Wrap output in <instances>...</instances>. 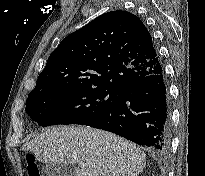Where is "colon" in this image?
Returning a JSON list of instances; mask_svg holds the SVG:
<instances>
[{
    "mask_svg": "<svg viewBox=\"0 0 205 176\" xmlns=\"http://www.w3.org/2000/svg\"><path fill=\"white\" fill-rule=\"evenodd\" d=\"M27 171L29 176H40L38 166L35 163V157L32 154L26 155Z\"/></svg>",
    "mask_w": 205,
    "mask_h": 176,
    "instance_id": "1",
    "label": "colon"
}]
</instances>
